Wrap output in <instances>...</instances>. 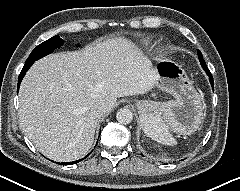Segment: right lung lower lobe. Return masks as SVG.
Instances as JSON below:
<instances>
[{
    "instance_id": "obj_1",
    "label": "right lung lower lobe",
    "mask_w": 240,
    "mask_h": 191,
    "mask_svg": "<svg viewBox=\"0 0 240 191\" xmlns=\"http://www.w3.org/2000/svg\"><path fill=\"white\" fill-rule=\"evenodd\" d=\"M32 64L33 63H27V64L25 63V65H24V67H23V69H22V71H21V73L19 75V78H18L17 92H18L20 83L22 81V78L24 77L25 73L28 71V69L31 67ZM81 160H83V159H81ZM81 160H77V161H74V162H68V163H61V164H63V165H72V164L80 162Z\"/></svg>"
}]
</instances>
